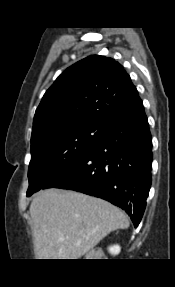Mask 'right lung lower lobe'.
I'll return each instance as SVG.
<instances>
[{
	"label": "right lung lower lobe",
	"instance_id": "98d812e1",
	"mask_svg": "<svg viewBox=\"0 0 175 287\" xmlns=\"http://www.w3.org/2000/svg\"><path fill=\"white\" fill-rule=\"evenodd\" d=\"M105 135L79 161L46 183L99 197L122 208L135 227L151 186L152 137L142 106L107 125Z\"/></svg>",
	"mask_w": 175,
	"mask_h": 287
}]
</instances>
